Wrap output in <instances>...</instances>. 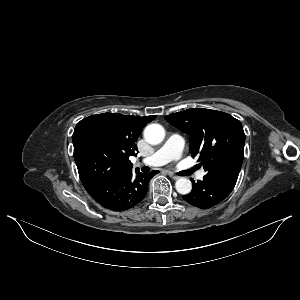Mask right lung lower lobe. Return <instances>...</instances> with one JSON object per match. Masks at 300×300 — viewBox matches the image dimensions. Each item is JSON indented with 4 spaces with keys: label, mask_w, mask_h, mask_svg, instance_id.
Returning a JSON list of instances; mask_svg holds the SVG:
<instances>
[{
    "label": "right lung lower lobe",
    "mask_w": 300,
    "mask_h": 300,
    "mask_svg": "<svg viewBox=\"0 0 300 300\" xmlns=\"http://www.w3.org/2000/svg\"><path fill=\"white\" fill-rule=\"evenodd\" d=\"M158 171L142 174L129 171L117 178L84 185L90 196L104 208L113 211L128 210L140 203L147 194L148 183Z\"/></svg>",
    "instance_id": "1"
}]
</instances>
